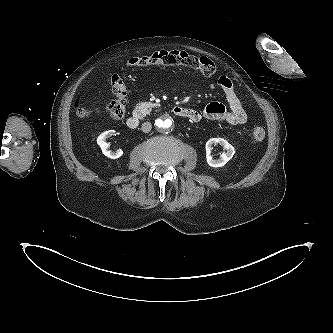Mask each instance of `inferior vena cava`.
I'll list each match as a JSON object with an SVG mask.
<instances>
[{
  "mask_svg": "<svg viewBox=\"0 0 333 333\" xmlns=\"http://www.w3.org/2000/svg\"><path fill=\"white\" fill-rule=\"evenodd\" d=\"M141 129H142V131H143L144 133H148V132H150L151 129H152V124H151L150 122H144V123L142 124Z\"/></svg>",
  "mask_w": 333,
  "mask_h": 333,
  "instance_id": "602c4592",
  "label": "inferior vena cava"
}]
</instances>
